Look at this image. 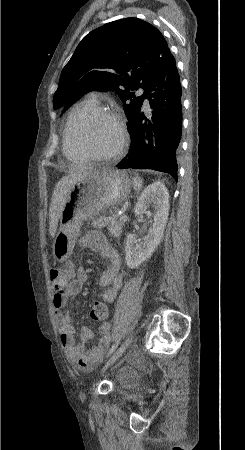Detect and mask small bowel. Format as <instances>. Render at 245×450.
<instances>
[{"label":"small bowel","mask_w":245,"mask_h":450,"mask_svg":"<svg viewBox=\"0 0 245 450\" xmlns=\"http://www.w3.org/2000/svg\"><path fill=\"white\" fill-rule=\"evenodd\" d=\"M80 245L97 252L106 260L107 266L99 279V285L103 288V301L111 304L123 283L118 252L105 234L99 230L86 232L80 239ZM50 277L53 287L54 316L64 352L81 371H90L96 366L111 343V326L108 321L100 323L98 330L101 337L90 350L87 349V342L91 339L92 334L88 328L82 330V341L75 343L74 328L65 309L69 300L80 293L84 283L88 280V272L83 267L76 270L69 268L65 271L52 269Z\"/></svg>","instance_id":"obj_1"}]
</instances>
